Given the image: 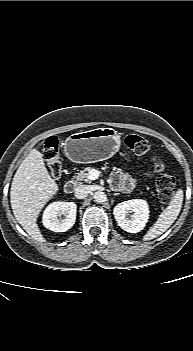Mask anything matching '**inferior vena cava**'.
Masks as SVG:
<instances>
[{"label": "inferior vena cava", "instance_id": "1", "mask_svg": "<svg viewBox=\"0 0 193 351\" xmlns=\"http://www.w3.org/2000/svg\"><path fill=\"white\" fill-rule=\"evenodd\" d=\"M90 189L87 185H79L75 188L74 195L78 199H84L89 194Z\"/></svg>", "mask_w": 193, "mask_h": 351}]
</instances>
